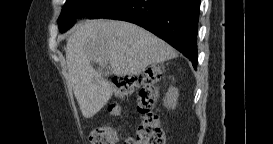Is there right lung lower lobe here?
I'll return each instance as SVG.
<instances>
[{
  "label": "right lung lower lobe",
  "instance_id": "right-lung-lower-lobe-1",
  "mask_svg": "<svg viewBox=\"0 0 273 144\" xmlns=\"http://www.w3.org/2000/svg\"><path fill=\"white\" fill-rule=\"evenodd\" d=\"M200 0H109L89 18L135 23L179 50L197 68Z\"/></svg>",
  "mask_w": 273,
  "mask_h": 144
}]
</instances>
